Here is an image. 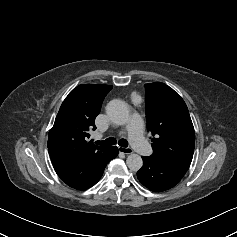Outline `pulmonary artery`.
I'll use <instances>...</instances> for the list:
<instances>
[{
    "mask_svg": "<svg viewBox=\"0 0 237 237\" xmlns=\"http://www.w3.org/2000/svg\"><path fill=\"white\" fill-rule=\"evenodd\" d=\"M129 141L133 148L144 156L152 154V148L143 136V121L140 116L133 115L127 126Z\"/></svg>",
    "mask_w": 237,
    "mask_h": 237,
    "instance_id": "1",
    "label": "pulmonary artery"
}]
</instances>
